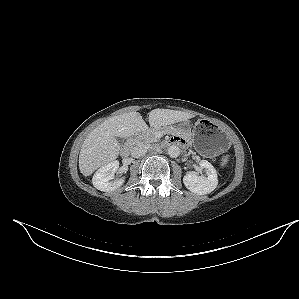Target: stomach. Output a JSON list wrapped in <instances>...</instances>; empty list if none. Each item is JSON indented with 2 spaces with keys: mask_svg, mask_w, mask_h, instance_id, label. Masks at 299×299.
I'll return each mask as SVG.
<instances>
[{
  "mask_svg": "<svg viewBox=\"0 0 299 299\" xmlns=\"http://www.w3.org/2000/svg\"><path fill=\"white\" fill-rule=\"evenodd\" d=\"M180 128L189 134L195 148L203 155H215L228 145L225 130L207 119H199L194 125L185 121Z\"/></svg>",
  "mask_w": 299,
  "mask_h": 299,
  "instance_id": "0dacf381",
  "label": "stomach"
}]
</instances>
